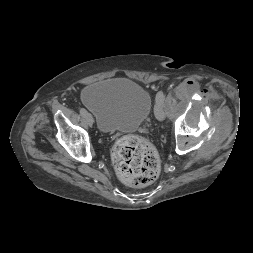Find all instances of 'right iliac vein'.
<instances>
[{"instance_id": "1", "label": "right iliac vein", "mask_w": 253, "mask_h": 253, "mask_svg": "<svg viewBox=\"0 0 253 253\" xmlns=\"http://www.w3.org/2000/svg\"><path fill=\"white\" fill-rule=\"evenodd\" d=\"M84 118H85L87 124H88L89 126H92V124H93V117H92V115H91L90 113H86V114L84 115Z\"/></svg>"}]
</instances>
